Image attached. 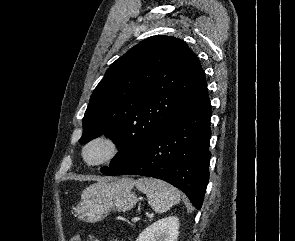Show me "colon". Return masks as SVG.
<instances>
[{
  "label": "colon",
  "mask_w": 295,
  "mask_h": 241,
  "mask_svg": "<svg viewBox=\"0 0 295 241\" xmlns=\"http://www.w3.org/2000/svg\"><path fill=\"white\" fill-rule=\"evenodd\" d=\"M70 241H82V240L80 237L75 236V237L71 238Z\"/></svg>",
  "instance_id": "1"
}]
</instances>
